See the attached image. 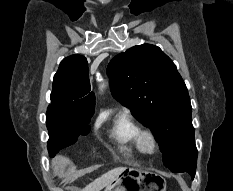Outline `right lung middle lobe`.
Segmentation results:
<instances>
[{
  "mask_svg": "<svg viewBox=\"0 0 233 191\" xmlns=\"http://www.w3.org/2000/svg\"><path fill=\"white\" fill-rule=\"evenodd\" d=\"M91 112H71L57 107H48L46 125L49 131L48 150L54 156L60 149L74 144L78 136L87 134Z\"/></svg>",
  "mask_w": 233,
  "mask_h": 191,
  "instance_id": "1",
  "label": "right lung middle lobe"
}]
</instances>
